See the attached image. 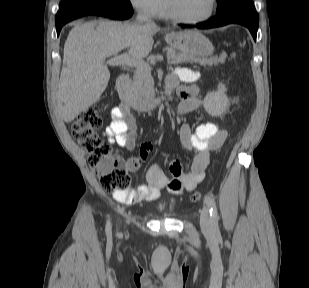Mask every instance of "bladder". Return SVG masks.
Segmentation results:
<instances>
[{
  "instance_id": "obj_1",
  "label": "bladder",
  "mask_w": 309,
  "mask_h": 288,
  "mask_svg": "<svg viewBox=\"0 0 309 288\" xmlns=\"http://www.w3.org/2000/svg\"><path fill=\"white\" fill-rule=\"evenodd\" d=\"M153 207L156 210V212L160 215H168L170 212L169 202L159 197L154 200Z\"/></svg>"
}]
</instances>
